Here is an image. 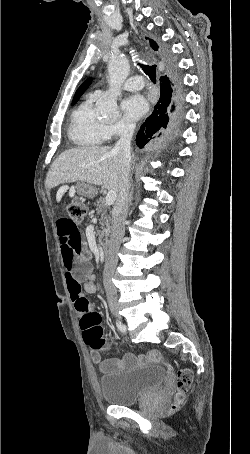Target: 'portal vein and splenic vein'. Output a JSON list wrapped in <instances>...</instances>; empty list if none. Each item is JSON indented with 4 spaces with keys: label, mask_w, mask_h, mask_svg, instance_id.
<instances>
[{
    "label": "portal vein and splenic vein",
    "mask_w": 250,
    "mask_h": 454,
    "mask_svg": "<svg viewBox=\"0 0 250 454\" xmlns=\"http://www.w3.org/2000/svg\"><path fill=\"white\" fill-rule=\"evenodd\" d=\"M116 198H117V193L115 191H109L105 198V204L107 206L112 205L116 201Z\"/></svg>",
    "instance_id": "obj_1"
}]
</instances>
